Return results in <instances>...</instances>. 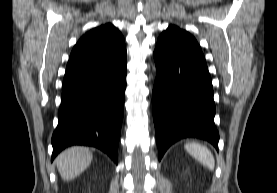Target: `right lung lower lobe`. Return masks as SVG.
<instances>
[{"label": "right lung lower lobe", "mask_w": 277, "mask_h": 193, "mask_svg": "<svg viewBox=\"0 0 277 193\" xmlns=\"http://www.w3.org/2000/svg\"><path fill=\"white\" fill-rule=\"evenodd\" d=\"M126 63L125 50L101 66L65 74L51 161L68 146L86 145L99 148L117 163Z\"/></svg>", "instance_id": "obj_1"}]
</instances>
